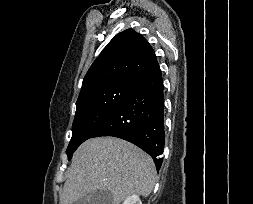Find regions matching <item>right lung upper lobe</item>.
I'll return each mask as SVG.
<instances>
[{
	"label": "right lung upper lobe",
	"mask_w": 253,
	"mask_h": 204,
	"mask_svg": "<svg viewBox=\"0 0 253 204\" xmlns=\"http://www.w3.org/2000/svg\"><path fill=\"white\" fill-rule=\"evenodd\" d=\"M157 63L148 41L132 29L117 34L103 49L83 79L79 97L115 82H136Z\"/></svg>",
	"instance_id": "1"
}]
</instances>
